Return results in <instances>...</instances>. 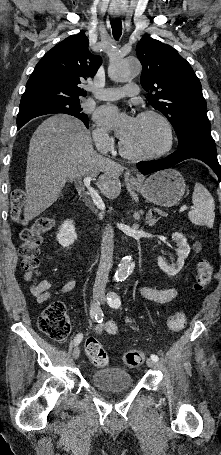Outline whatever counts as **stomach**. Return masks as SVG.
I'll use <instances>...</instances> for the list:
<instances>
[{
  "label": "stomach",
  "instance_id": "stomach-1",
  "mask_svg": "<svg viewBox=\"0 0 221 455\" xmlns=\"http://www.w3.org/2000/svg\"><path fill=\"white\" fill-rule=\"evenodd\" d=\"M132 186L138 189L147 201L163 207L178 204L186 189L183 176L175 169L156 172Z\"/></svg>",
  "mask_w": 221,
  "mask_h": 455
}]
</instances>
